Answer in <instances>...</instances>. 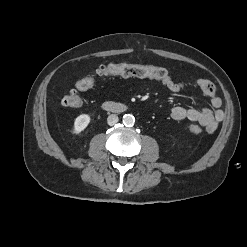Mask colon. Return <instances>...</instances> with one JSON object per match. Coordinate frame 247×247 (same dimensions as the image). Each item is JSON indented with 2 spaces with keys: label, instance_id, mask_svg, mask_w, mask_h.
Returning a JSON list of instances; mask_svg holds the SVG:
<instances>
[{
  "label": "colon",
  "instance_id": "5ec220e1",
  "mask_svg": "<svg viewBox=\"0 0 247 247\" xmlns=\"http://www.w3.org/2000/svg\"><path fill=\"white\" fill-rule=\"evenodd\" d=\"M112 76L152 78L160 81L170 78L168 71L162 67L118 63L107 64L99 67L94 74L78 80L75 86L79 91H86L94 87L100 78ZM77 90H70L63 96V106L69 108H77L81 106L82 98ZM188 130L193 134H199L202 131V128L198 124H190Z\"/></svg>",
  "mask_w": 247,
  "mask_h": 247
}]
</instances>
